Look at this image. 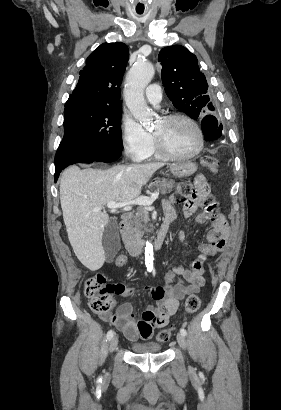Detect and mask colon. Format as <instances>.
I'll use <instances>...</instances> for the list:
<instances>
[{"label":"colon","instance_id":"obj_1","mask_svg":"<svg viewBox=\"0 0 281 410\" xmlns=\"http://www.w3.org/2000/svg\"><path fill=\"white\" fill-rule=\"evenodd\" d=\"M202 167L211 173H216L218 170V162L215 158L206 156L201 160ZM192 188L189 185H184L180 194L190 195L192 194ZM200 205L203 207L206 214L211 217L221 216V209L219 204L215 201L214 197L210 194H206L200 198ZM126 262V258L123 254L117 256L115 264L119 267L123 266ZM117 286L107 281L104 274L98 273L89 277L85 282V295L89 300V307L92 311L103 314L110 310L113 305V295L116 293ZM200 297L196 294L190 295L184 305V315H191L195 313L200 307ZM175 325L168 329L162 330L157 335L159 342H167L173 331Z\"/></svg>","mask_w":281,"mask_h":410}]
</instances>
